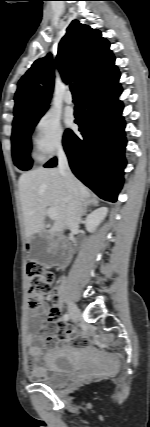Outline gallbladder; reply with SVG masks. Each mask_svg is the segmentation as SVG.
<instances>
[{"label":"gallbladder","mask_w":150,"mask_h":427,"mask_svg":"<svg viewBox=\"0 0 150 427\" xmlns=\"http://www.w3.org/2000/svg\"><path fill=\"white\" fill-rule=\"evenodd\" d=\"M30 256L42 265H52L54 256L50 248V240L42 234H37L30 239Z\"/></svg>","instance_id":"1"}]
</instances>
